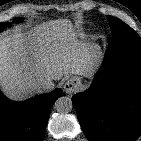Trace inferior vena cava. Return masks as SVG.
Returning <instances> with one entry per match:
<instances>
[{"mask_svg": "<svg viewBox=\"0 0 141 141\" xmlns=\"http://www.w3.org/2000/svg\"><path fill=\"white\" fill-rule=\"evenodd\" d=\"M54 86L55 85L51 79L45 78L37 81L34 86V90L36 91V93H44L54 89Z\"/></svg>", "mask_w": 141, "mask_h": 141, "instance_id": "inferior-vena-cava-1", "label": "inferior vena cava"}]
</instances>
